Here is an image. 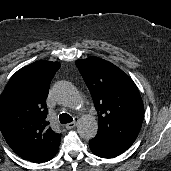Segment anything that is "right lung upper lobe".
Here are the masks:
<instances>
[{"label": "right lung upper lobe", "instance_id": "1", "mask_svg": "<svg viewBox=\"0 0 171 171\" xmlns=\"http://www.w3.org/2000/svg\"><path fill=\"white\" fill-rule=\"evenodd\" d=\"M58 62L38 61L18 70L0 96V129L12 150L34 163L51 160L60 134L48 127L46 98Z\"/></svg>", "mask_w": 171, "mask_h": 171}]
</instances>
